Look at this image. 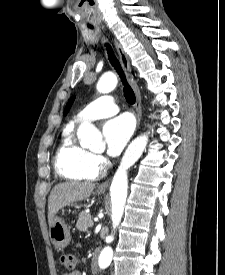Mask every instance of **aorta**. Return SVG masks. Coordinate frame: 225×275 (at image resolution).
<instances>
[{
  "instance_id": "1",
  "label": "aorta",
  "mask_w": 225,
  "mask_h": 275,
  "mask_svg": "<svg viewBox=\"0 0 225 275\" xmlns=\"http://www.w3.org/2000/svg\"><path fill=\"white\" fill-rule=\"evenodd\" d=\"M116 85V75L112 72H107L99 79L97 83V90L100 93H109L115 89ZM77 136L80 140L81 146L84 148H89L90 150H95L103 144L100 132L93 124L90 123L82 124L77 131ZM147 143L148 136L145 134L133 140L122 157L120 165L113 177L110 187V195L112 206L111 219L114 230L118 227L122 219L126 204L128 190L127 171L140 158ZM109 238L112 240L113 235L109 236ZM112 257V248L109 246L105 247L99 256V267L101 269H106L110 265Z\"/></svg>"
}]
</instances>
